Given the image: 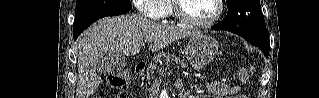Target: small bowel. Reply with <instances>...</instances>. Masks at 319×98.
Returning <instances> with one entry per match:
<instances>
[{"label": "small bowel", "mask_w": 319, "mask_h": 98, "mask_svg": "<svg viewBox=\"0 0 319 98\" xmlns=\"http://www.w3.org/2000/svg\"><path fill=\"white\" fill-rule=\"evenodd\" d=\"M183 84L181 81L176 82V88L182 89ZM208 91L216 97H224L227 95H234L237 98H244L239 94L240 87L237 85H230L221 81H211L207 84Z\"/></svg>", "instance_id": "small-bowel-1"}]
</instances>
